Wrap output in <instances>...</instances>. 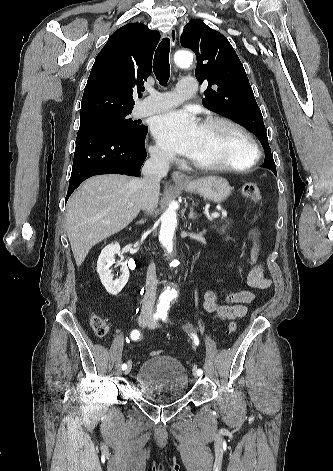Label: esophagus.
Segmentation results:
<instances>
[{
  "label": "esophagus",
  "instance_id": "obj_1",
  "mask_svg": "<svg viewBox=\"0 0 333 471\" xmlns=\"http://www.w3.org/2000/svg\"><path fill=\"white\" fill-rule=\"evenodd\" d=\"M168 36H169V39H170V45L171 47H175L176 45V41H177V32L174 28L170 29V31L168 32ZM172 179L175 181V182H179V183H187L189 182V178L182 172L180 171H174L172 173Z\"/></svg>",
  "mask_w": 333,
  "mask_h": 471
}]
</instances>
